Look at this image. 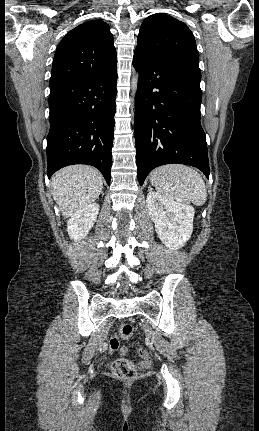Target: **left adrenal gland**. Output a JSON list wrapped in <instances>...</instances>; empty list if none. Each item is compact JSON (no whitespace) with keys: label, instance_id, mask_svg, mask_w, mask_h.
<instances>
[{"label":"left adrenal gland","instance_id":"1","mask_svg":"<svg viewBox=\"0 0 259 431\" xmlns=\"http://www.w3.org/2000/svg\"><path fill=\"white\" fill-rule=\"evenodd\" d=\"M148 189L150 190V189H151V187L149 186V187H148Z\"/></svg>","mask_w":259,"mask_h":431}]
</instances>
